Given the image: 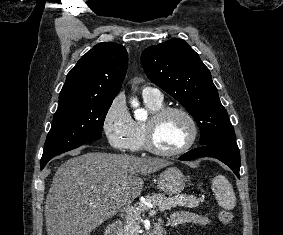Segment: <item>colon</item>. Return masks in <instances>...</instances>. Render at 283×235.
Listing matches in <instances>:
<instances>
[{
    "label": "colon",
    "instance_id": "1",
    "mask_svg": "<svg viewBox=\"0 0 283 235\" xmlns=\"http://www.w3.org/2000/svg\"><path fill=\"white\" fill-rule=\"evenodd\" d=\"M218 219L222 224H229L233 220V215L230 211L221 209L218 212Z\"/></svg>",
    "mask_w": 283,
    "mask_h": 235
}]
</instances>
